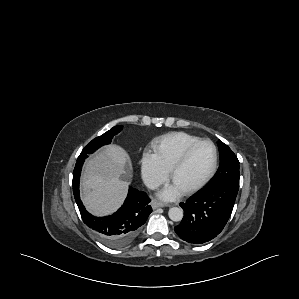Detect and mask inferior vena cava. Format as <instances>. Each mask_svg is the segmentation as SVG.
<instances>
[{
	"mask_svg": "<svg viewBox=\"0 0 299 299\" xmlns=\"http://www.w3.org/2000/svg\"><path fill=\"white\" fill-rule=\"evenodd\" d=\"M145 185L150 189H156L159 187V182L152 179V178H145L144 179Z\"/></svg>",
	"mask_w": 299,
	"mask_h": 299,
	"instance_id": "inferior-vena-cava-1",
	"label": "inferior vena cava"
}]
</instances>
